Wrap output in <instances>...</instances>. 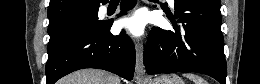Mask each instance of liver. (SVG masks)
I'll return each mask as SVG.
<instances>
[{"mask_svg": "<svg viewBox=\"0 0 260 84\" xmlns=\"http://www.w3.org/2000/svg\"><path fill=\"white\" fill-rule=\"evenodd\" d=\"M59 84H120V79L102 70L83 69L67 75Z\"/></svg>", "mask_w": 260, "mask_h": 84, "instance_id": "6515ba94", "label": "liver"}]
</instances>
